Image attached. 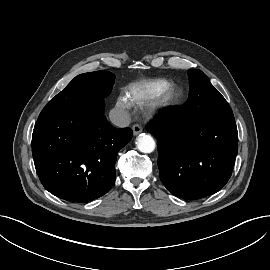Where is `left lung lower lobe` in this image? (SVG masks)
<instances>
[{
  "label": "left lung lower lobe",
  "mask_w": 270,
  "mask_h": 270,
  "mask_svg": "<svg viewBox=\"0 0 270 270\" xmlns=\"http://www.w3.org/2000/svg\"><path fill=\"white\" fill-rule=\"evenodd\" d=\"M146 129L157 138L160 179L173 195L199 199L228 182L238 150L233 115L202 116L188 98Z\"/></svg>",
  "instance_id": "obj_1"
}]
</instances>
